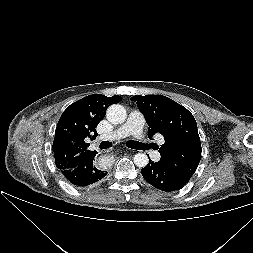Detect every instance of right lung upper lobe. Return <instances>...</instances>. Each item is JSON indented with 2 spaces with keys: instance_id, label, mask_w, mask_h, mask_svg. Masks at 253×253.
I'll return each mask as SVG.
<instances>
[{
  "instance_id": "cb5924a9",
  "label": "right lung upper lobe",
  "mask_w": 253,
  "mask_h": 253,
  "mask_svg": "<svg viewBox=\"0 0 253 253\" xmlns=\"http://www.w3.org/2000/svg\"><path fill=\"white\" fill-rule=\"evenodd\" d=\"M118 95L86 96L71 104L62 114L55 131L53 151L56 167L62 171L75 168L94 159L96 151L88 149L87 138H96V127L104 118L107 108L118 103Z\"/></svg>"
}]
</instances>
